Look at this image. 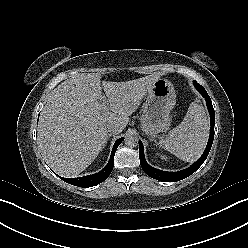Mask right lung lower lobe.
Masks as SVG:
<instances>
[{"instance_id":"right-lung-lower-lobe-1","label":"right lung lower lobe","mask_w":248,"mask_h":248,"mask_svg":"<svg viewBox=\"0 0 248 248\" xmlns=\"http://www.w3.org/2000/svg\"><path fill=\"white\" fill-rule=\"evenodd\" d=\"M123 140H124V138H120L115 142L108 164L106 165V167L104 169H102L98 173L93 174V175L84 176V177H79V178H63V177H60V178L69 184H72V185H75L78 187H84V188L92 187V186H95V185L103 182L104 180H106L108 178V176L110 175V173L113 169L115 152L117 150V147L120 145V143Z\"/></svg>"}]
</instances>
